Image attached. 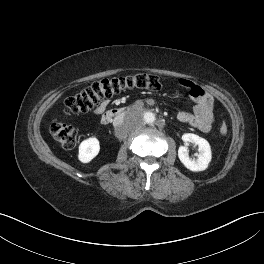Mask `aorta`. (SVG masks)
<instances>
[{
	"instance_id": "762f6f07",
	"label": "aorta",
	"mask_w": 264,
	"mask_h": 264,
	"mask_svg": "<svg viewBox=\"0 0 264 264\" xmlns=\"http://www.w3.org/2000/svg\"><path fill=\"white\" fill-rule=\"evenodd\" d=\"M143 121L147 124H152L155 121V114L152 112H145L143 115Z\"/></svg>"
}]
</instances>
